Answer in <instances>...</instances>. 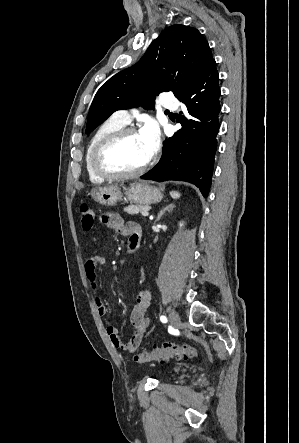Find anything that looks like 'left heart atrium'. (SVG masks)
Here are the masks:
<instances>
[{
	"label": "left heart atrium",
	"mask_w": 299,
	"mask_h": 443,
	"mask_svg": "<svg viewBox=\"0 0 299 443\" xmlns=\"http://www.w3.org/2000/svg\"><path fill=\"white\" fill-rule=\"evenodd\" d=\"M139 136L146 147L148 159L152 158L157 152L160 142L159 129L155 122L147 121L140 130Z\"/></svg>",
	"instance_id": "obj_1"
}]
</instances>
